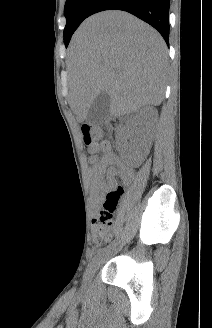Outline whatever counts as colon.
<instances>
[{
    "label": "colon",
    "mask_w": 212,
    "mask_h": 328,
    "mask_svg": "<svg viewBox=\"0 0 212 328\" xmlns=\"http://www.w3.org/2000/svg\"><path fill=\"white\" fill-rule=\"evenodd\" d=\"M82 135L85 147L90 149H93L102 139L101 130L87 124L82 126ZM122 193L123 189L120 186H117L106 194L103 209L100 211L97 219L99 227L96 238L98 242H109L112 238L110 233L112 214L118 205Z\"/></svg>",
    "instance_id": "colon-1"
}]
</instances>
